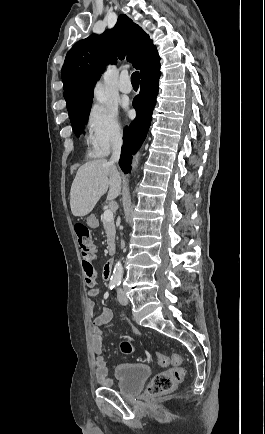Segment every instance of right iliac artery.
<instances>
[{
    "label": "right iliac artery",
    "mask_w": 265,
    "mask_h": 434,
    "mask_svg": "<svg viewBox=\"0 0 265 434\" xmlns=\"http://www.w3.org/2000/svg\"><path fill=\"white\" fill-rule=\"evenodd\" d=\"M116 285H118V283L117 282H114V281H111L110 283H109V289L110 290H112Z\"/></svg>",
    "instance_id": "1"
}]
</instances>
